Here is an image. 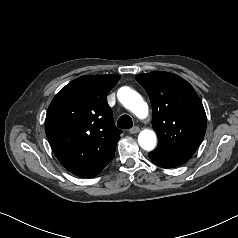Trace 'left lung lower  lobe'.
Listing matches in <instances>:
<instances>
[{
    "mask_svg": "<svg viewBox=\"0 0 238 238\" xmlns=\"http://www.w3.org/2000/svg\"><path fill=\"white\" fill-rule=\"evenodd\" d=\"M149 158L162 168H173L187 162L191 155L171 152L166 148L157 146L154 151L149 153Z\"/></svg>",
    "mask_w": 238,
    "mask_h": 238,
    "instance_id": "obj_1",
    "label": "left lung lower lobe"
}]
</instances>
